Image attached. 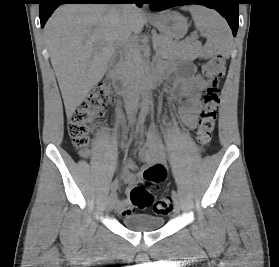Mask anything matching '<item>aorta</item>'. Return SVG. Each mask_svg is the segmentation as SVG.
I'll return each instance as SVG.
<instances>
[{"label":"aorta","mask_w":279,"mask_h":267,"mask_svg":"<svg viewBox=\"0 0 279 267\" xmlns=\"http://www.w3.org/2000/svg\"><path fill=\"white\" fill-rule=\"evenodd\" d=\"M149 98H150V94H149L148 88L146 87L144 90V93H143V104L146 108L149 105Z\"/></svg>","instance_id":"aorta-1"}]
</instances>
